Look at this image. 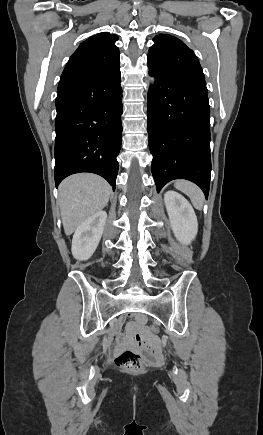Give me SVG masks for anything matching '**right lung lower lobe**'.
Returning a JSON list of instances; mask_svg holds the SVG:
<instances>
[{
	"label": "right lung lower lobe",
	"mask_w": 263,
	"mask_h": 435,
	"mask_svg": "<svg viewBox=\"0 0 263 435\" xmlns=\"http://www.w3.org/2000/svg\"><path fill=\"white\" fill-rule=\"evenodd\" d=\"M120 67L80 83L58 88L55 121V184L67 176L91 172L115 190L116 159L121 148Z\"/></svg>",
	"instance_id": "right-lung-lower-lobe-1"
}]
</instances>
